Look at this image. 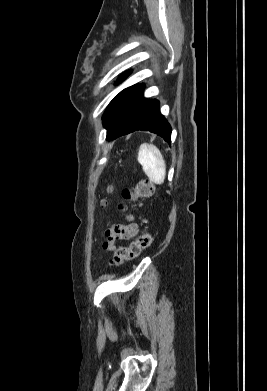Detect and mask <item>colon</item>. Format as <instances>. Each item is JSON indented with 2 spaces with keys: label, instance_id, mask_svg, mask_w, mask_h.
Returning <instances> with one entry per match:
<instances>
[{
  "label": "colon",
  "instance_id": "obj_1",
  "mask_svg": "<svg viewBox=\"0 0 267 391\" xmlns=\"http://www.w3.org/2000/svg\"><path fill=\"white\" fill-rule=\"evenodd\" d=\"M112 191V188H109ZM154 184L146 179L140 180L133 189L123 188L121 190V202L118 205L120 211L126 209L127 203L138 202L143 198H148L154 194ZM104 202H102V205ZM151 244V236L148 233L140 234L128 246L119 248L114 255L113 264L120 265L125 261L137 258L143 250Z\"/></svg>",
  "mask_w": 267,
  "mask_h": 391
}]
</instances>
